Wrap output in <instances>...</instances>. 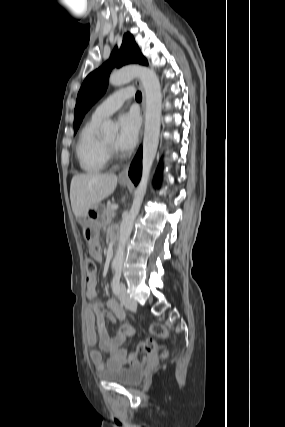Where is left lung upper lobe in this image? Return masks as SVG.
<instances>
[{"mask_svg": "<svg viewBox=\"0 0 285 427\" xmlns=\"http://www.w3.org/2000/svg\"><path fill=\"white\" fill-rule=\"evenodd\" d=\"M130 63L148 64L133 36L128 32L124 34L120 50L115 47L110 59L100 68L91 72L84 80L77 96L74 111V133L77 132L85 113L106 91L111 69Z\"/></svg>", "mask_w": 285, "mask_h": 427, "instance_id": "1", "label": "left lung upper lobe"}]
</instances>
